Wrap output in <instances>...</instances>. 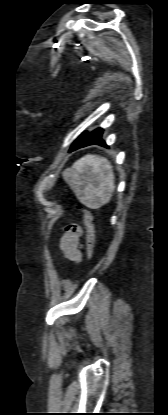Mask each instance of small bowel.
<instances>
[{"instance_id":"obj_1","label":"small bowel","mask_w":168,"mask_h":415,"mask_svg":"<svg viewBox=\"0 0 168 415\" xmlns=\"http://www.w3.org/2000/svg\"><path fill=\"white\" fill-rule=\"evenodd\" d=\"M62 255L71 261L78 262L81 259V230L75 226L67 227V232L59 241Z\"/></svg>"}]
</instances>
